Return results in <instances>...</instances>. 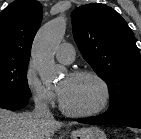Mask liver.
<instances>
[{"label":"liver","instance_id":"6515ba94","mask_svg":"<svg viewBox=\"0 0 141 139\" xmlns=\"http://www.w3.org/2000/svg\"><path fill=\"white\" fill-rule=\"evenodd\" d=\"M61 126L54 119L41 121L34 112L14 113L0 108V139H52Z\"/></svg>","mask_w":141,"mask_h":139}]
</instances>
